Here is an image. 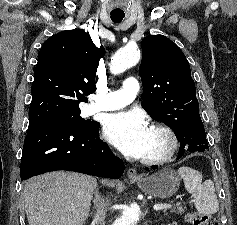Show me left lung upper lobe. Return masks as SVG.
<instances>
[{
	"label": "left lung upper lobe",
	"instance_id": "left-lung-upper-lobe-1",
	"mask_svg": "<svg viewBox=\"0 0 237 225\" xmlns=\"http://www.w3.org/2000/svg\"><path fill=\"white\" fill-rule=\"evenodd\" d=\"M142 51V107L176 133L199 114L189 62L180 48L163 35L145 37Z\"/></svg>",
	"mask_w": 237,
	"mask_h": 225
}]
</instances>
